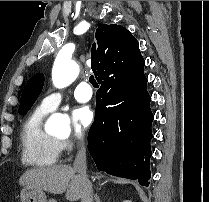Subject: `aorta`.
I'll list each match as a JSON object with an SVG mask.
<instances>
[{
    "label": "aorta",
    "mask_w": 209,
    "mask_h": 202,
    "mask_svg": "<svg viewBox=\"0 0 209 202\" xmlns=\"http://www.w3.org/2000/svg\"><path fill=\"white\" fill-rule=\"evenodd\" d=\"M79 74V66L71 57L59 53L52 68V82L56 88H64L70 85ZM47 132L69 133L70 119L61 113L52 114L45 123Z\"/></svg>",
    "instance_id": "aorta-1"
}]
</instances>
